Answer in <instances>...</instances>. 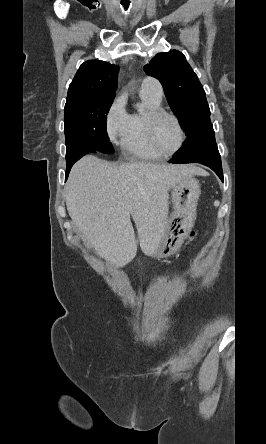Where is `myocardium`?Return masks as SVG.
<instances>
[{"mask_svg": "<svg viewBox=\"0 0 266 444\" xmlns=\"http://www.w3.org/2000/svg\"><path fill=\"white\" fill-rule=\"evenodd\" d=\"M162 117H169V118L173 119L177 125L178 130H179V135H180L179 144H178L177 148L175 150H173L172 152H163L158 147L156 140H155V135H154L155 125H156L157 121ZM145 129H146L147 139H148V142H149L151 148L163 157L171 156V155L178 153L183 148V146L185 144L186 134H185V131H184V128L182 126L180 119L174 113L169 112L167 110L160 108V109H155V110L149 111L147 113L146 120H145Z\"/></svg>", "mask_w": 266, "mask_h": 444, "instance_id": "obj_1", "label": "myocardium"}]
</instances>
